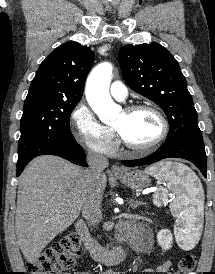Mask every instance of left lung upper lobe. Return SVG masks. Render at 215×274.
<instances>
[{
  "label": "left lung upper lobe",
  "mask_w": 215,
  "mask_h": 274,
  "mask_svg": "<svg viewBox=\"0 0 215 274\" xmlns=\"http://www.w3.org/2000/svg\"><path fill=\"white\" fill-rule=\"evenodd\" d=\"M119 61L127 85L155 102L169 121L166 142L203 145L197 112L179 64L162 45H125Z\"/></svg>",
  "instance_id": "1"
}]
</instances>
